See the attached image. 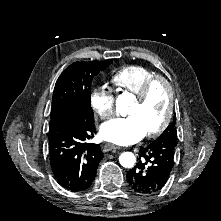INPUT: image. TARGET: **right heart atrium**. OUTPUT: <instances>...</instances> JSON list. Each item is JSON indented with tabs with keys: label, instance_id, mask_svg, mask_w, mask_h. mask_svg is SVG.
I'll return each mask as SVG.
<instances>
[{
	"label": "right heart atrium",
	"instance_id": "1",
	"mask_svg": "<svg viewBox=\"0 0 221 221\" xmlns=\"http://www.w3.org/2000/svg\"><path fill=\"white\" fill-rule=\"evenodd\" d=\"M90 105L94 112L106 120L114 113V95L105 87L95 88L90 95Z\"/></svg>",
	"mask_w": 221,
	"mask_h": 221
}]
</instances>
